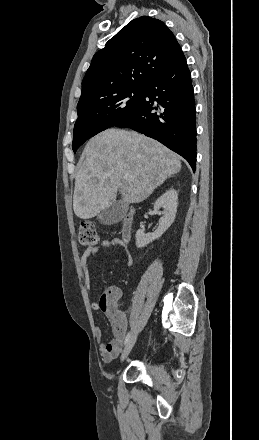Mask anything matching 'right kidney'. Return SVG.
Listing matches in <instances>:
<instances>
[{"instance_id": "1", "label": "right kidney", "mask_w": 259, "mask_h": 440, "mask_svg": "<svg viewBox=\"0 0 259 440\" xmlns=\"http://www.w3.org/2000/svg\"><path fill=\"white\" fill-rule=\"evenodd\" d=\"M178 205V193L174 189L166 191L161 197H159L154 203V210L157 211L161 207L164 209L163 216L159 220V226L153 233L145 234L142 229L136 232V246L137 248H143L152 241L160 238L163 233L174 222Z\"/></svg>"}]
</instances>
